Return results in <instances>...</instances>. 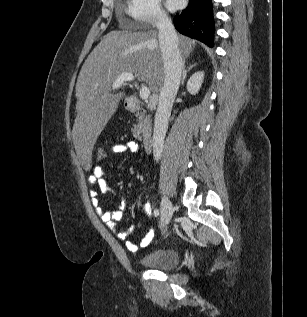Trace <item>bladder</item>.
<instances>
[{"mask_svg": "<svg viewBox=\"0 0 307 317\" xmlns=\"http://www.w3.org/2000/svg\"><path fill=\"white\" fill-rule=\"evenodd\" d=\"M137 261L149 269H169L179 264V253L174 248H162L140 257Z\"/></svg>", "mask_w": 307, "mask_h": 317, "instance_id": "obj_1", "label": "bladder"}]
</instances>
